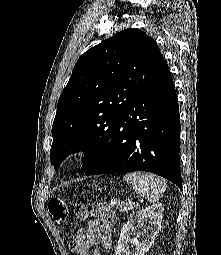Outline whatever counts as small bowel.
<instances>
[{"mask_svg":"<svg viewBox=\"0 0 221 255\" xmlns=\"http://www.w3.org/2000/svg\"><path fill=\"white\" fill-rule=\"evenodd\" d=\"M91 215L94 220L87 222L77 232L70 246L75 255H101L98 245L112 249V228L116 222L115 213L103 203L91 205Z\"/></svg>","mask_w":221,"mask_h":255,"instance_id":"c3829d8e","label":"small bowel"}]
</instances>
